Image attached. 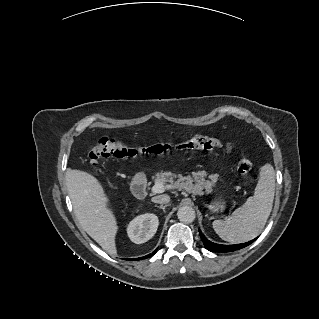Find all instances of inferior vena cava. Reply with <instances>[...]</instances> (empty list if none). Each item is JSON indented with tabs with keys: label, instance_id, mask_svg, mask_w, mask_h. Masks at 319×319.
<instances>
[{
	"label": "inferior vena cava",
	"instance_id": "obj_1",
	"mask_svg": "<svg viewBox=\"0 0 319 319\" xmlns=\"http://www.w3.org/2000/svg\"><path fill=\"white\" fill-rule=\"evenodd\" d=\"M152 202L158 204H167L170 202V197L168 195H159L152 198Z\"/></svg>",
	"mask_w": 319,
	"mask_h": 319
}]
</instances>
